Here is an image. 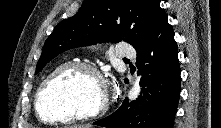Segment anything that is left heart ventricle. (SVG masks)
<instances>
[{
    "label": "left heart ventricle",
    "mask_w": 221,
    "mask_h": 128,
    "mask_svg": "<svg viewBox=\"0 0 221 128\" xmlns=\"http://www.w3.org/2000/svg\"><path fill=\"white\" fill-rule=\"evenodd\" d=\"M102 89L96 78L83 70H75L55 81L46 89L41 108L49 117L76 115L96 108Z\"/></svg>",
    "instance_id": "1"
}]
</instances>
